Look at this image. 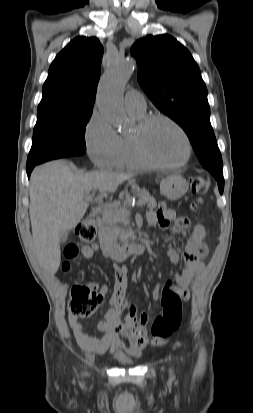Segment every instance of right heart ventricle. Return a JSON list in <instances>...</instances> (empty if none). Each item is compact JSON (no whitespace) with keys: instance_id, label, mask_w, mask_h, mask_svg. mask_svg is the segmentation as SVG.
<instances>
[{"instance_id":"1","label":"right heart ventricle","mask_w":253,"mask_h":413,"mask_svg":"<svg viewBox=\"0 0 253 413\" xmlns=\"http://www.w3.org/2000/svg\"><path fill=\"white\" fill-rule=\"evenodd\" d=\"M129 115L134 120L140 122L146 117L145 113H134L129 112ZM120 136V146L113 162V167L116 168H136L145 169L150 168L139 155L133 135H119Z\"/></svg>"}]
</instances>
